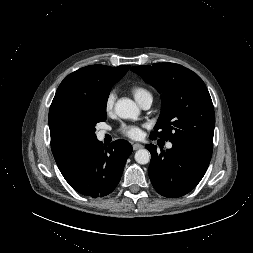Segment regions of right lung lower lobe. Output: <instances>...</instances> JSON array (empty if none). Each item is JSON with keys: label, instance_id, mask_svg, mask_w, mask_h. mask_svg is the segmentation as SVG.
Returning <instances> with one entry per match:
<instances>
[{"label": "right lung lower lobe", "instance_id": "1", "mask_svg": "<svg viewBox=\"0 0 253 253\" xmlns=\"http://www.w3.org/2000/svg\"><path fill=\"white\" fill-rule=\"evenodd\" d=\"M131 153L132 146L125 140H116L103 147V143L95 138L82 143L56 163L74 190L97 198L116 188Z\"/></svg>", "mask_w": 253, "mask_h": 253}]
</instances>
